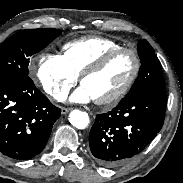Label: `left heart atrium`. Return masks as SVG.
I'll return each instance as SVG.
<instances>
[{"mask_svg": "<svg viewBox=\"0 0 183 183\" xmlns=\"http://www.w3.org/2000/svg\"><path fill=\"white\" fill-rule=\"evenodd\" d=\"M70 100L76 103H87L91 100H94L90 92L83 85L79 87L71 95Z\"/></svg>", "mask_w": 183, "mask_h": 183, "instance_id": "obj_1", "label": "left heart atrium"}]
</instances>
